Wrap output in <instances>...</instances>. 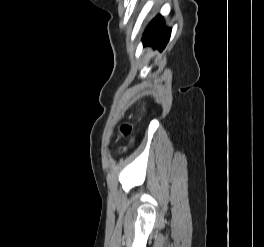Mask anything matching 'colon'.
<instances>
[{
  "mask_svg": "<svg viewBox=\"0 0 264 247\" xmlns=\"http://www.w3.org/2000/svg\"><path fill=\"white\" fill-rule=\"evenodd\" d=\"M131 129H132V127H131L130 124L124 123L120 127V132H121L122 135H125L126 136V135H129L130 134Z\"/></svg>",
  "mask_w": 264,
  "mask_h": 247,
  "instance_id": "obj_1",
  "label": "colon"
}]
</instances>
